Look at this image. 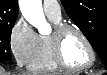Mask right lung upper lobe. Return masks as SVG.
<instances>
[{
    "label": "right lung upper lobe",
    "mask_w": 107,
    "mask_h": 75,
    "mask_svg": "<svg viewBox=\"0 0 107 75\" xmlns=\"http://www.w3.org/2000/svg\"><path fill=\"white\" fill-rule=\"evenodd\" d=\"M18 16V0H0V24L15 23Z\"/></svg>",
    "instance_id": "1"
}]
</instances>
